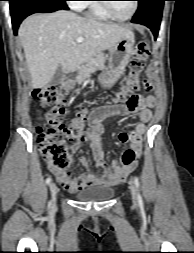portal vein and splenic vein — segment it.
<instances>
[{"label": "portal vein and splenic vein", "instance_id": "1", "mask_svg": "<svg viewBox=\"0 0 194 253\" xmlns=\"http://www.w3.org/2000/svg\"><path fill=\"white\" fill-rule=\"evenodd\" d=\"M76 41H77V42H83L84 39H83L82 37H78V38H76Z\"/></svg>", "mask_w": 194, "mask_h": 253}]
</instances>
